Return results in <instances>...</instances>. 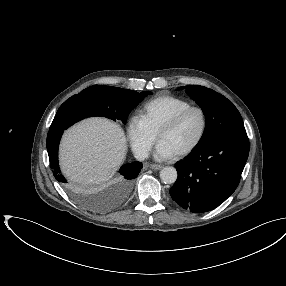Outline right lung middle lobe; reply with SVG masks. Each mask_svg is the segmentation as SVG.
Masks as SVG:
<instances>
[{
    "label": "right lung middle lobe",
    "instance_id": "right-lung-middle-lobe-1",
    "mask_svg": "<svg viewBox=\"0 0 286 286\" xmlns=\"http://www.w3.org/2000/svg\"><path fill=\"white\" fill-rule=\"evenodd\" d=\"M150 94L152 93L149 91L138 93L118 87L93 85L67 99L60 106L53 122L65 129L84 118L93 116L106 117L114 121L119 119L125 123L132 109ZM131 186L132 183L126 192L122 191L121 200L126 198ZM89 207L102 209L93 203L89 204Z\"/></svg>",
    "mask_w": 286,
    "mask_h": 286
}]
</instances>
